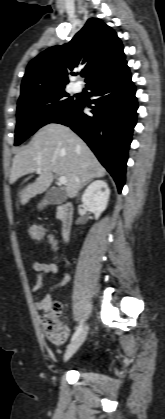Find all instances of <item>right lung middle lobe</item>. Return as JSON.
Masks as SVG:
<instances>
[{"label": "right lung middle lobe", "mask_w": 165, "mask_h": 419, "mask_svg": "<svg viewBox=\"0 0 165 419\" xmlns=\"http://www.w3.org/2000/svg\"><path fill=\"white\" fill-rule=\"evenodd\" d=\"M68 96L63 88L39 93L19 101L15 146L21 144L42 126L74 109L80 99Z\"/></svg>", "instance_id": "right-lung-middle-lobe-1"}]
</instances>
